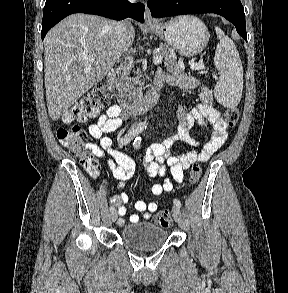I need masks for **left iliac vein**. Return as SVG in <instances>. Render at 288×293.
<instances>
[{"mask_svg":"<svg viewBox=\"0 0 288 293\" xmlns=\"http://www.w3.org/2000/svg\"><path fill=\"white\" fill-rule=\"evenodd\" d=\"M172 212H173V217L175 219L176 222H179L181 219V211L180 208L178 206H173L172 208Z\"/></svg>","mask_w":288,"mask_h":293,"instance_id":"obj_1","label":"left iliac vein"}]
</instances>
